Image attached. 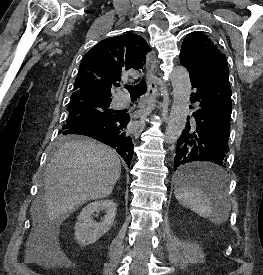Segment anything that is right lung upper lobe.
<instances>
[{
    "instance_id": "obj_1",
    "label": "right lung upper lobe",
    "mask_w": 263,
    "mask_h": 275,
    "mask_svg": "<svg viewBox=\"0 0 263 275\" xmlns=\"http://www.w3.org/2000/svg\"><path fill=\"white\" fill-rule=\"evenodd\" d=\"M148 51L147 42L132 33L99 42L83 57L71 97L94 94L110 98L111 87L121 80L122 71L140 69Z\"/></svg>"
}]
</instances>
